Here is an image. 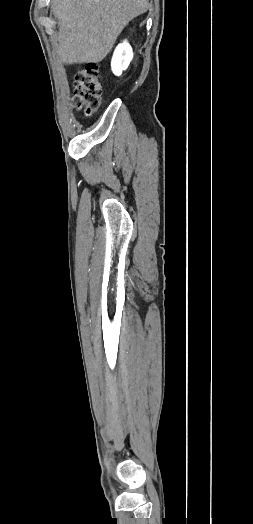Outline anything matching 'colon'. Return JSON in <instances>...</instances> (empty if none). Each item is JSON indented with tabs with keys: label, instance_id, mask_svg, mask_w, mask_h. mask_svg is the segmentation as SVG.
Listing matches in <instances>:
<instances>
[{
	"label": "colon",
	"instance_id": "1",
	"mask_svg": "<svg viewBox=\"0 0 253 524\" xmlns=\"http://www.w3.org/2000/svg\"><path fill=\"white\" fill-rule=\"evenodd\" d=\"M101 93L98 65L94 63L83 65L75 74L74 107L85 116H91L100 105Z\"/></svg>",
	"mask_w": 253,
	"mask_h": 524
}]
</instances>
